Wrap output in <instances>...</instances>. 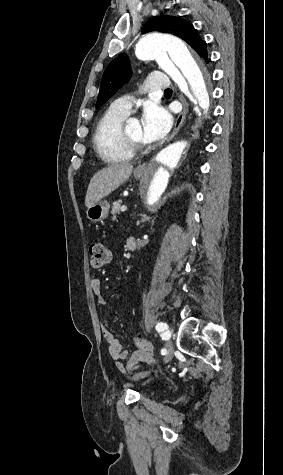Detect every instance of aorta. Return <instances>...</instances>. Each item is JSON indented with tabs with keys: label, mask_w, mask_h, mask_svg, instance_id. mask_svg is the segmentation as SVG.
Here are the masks:
<instances>
[{
	"label": "aorta",
	"mask_w": 283,
	"mask_h": 475,
	"mask_svg": "<svg viewBox=\"0 0 283 475\" xmlns=\"http://www.w3.org/2000/svg\"><path fill=\"white\" fill-rule=\"evenodd\" d=\"M135 55L140 60L155 59L180 90L207 115L210 106L209 75L182 40L171 35L151 33L139 40ZM195 111L199 112V108L196 107ZM198 136V129L194 126L185 138L165 147L149 163L138 189L137 203L141 212L157 209L170 184L194 154Z\"/></svg>",
	"instance_id": "762f6f07"
}]
</instances>
